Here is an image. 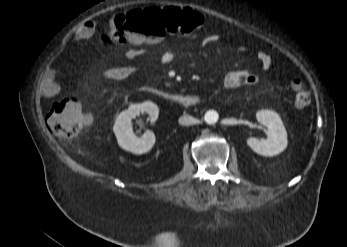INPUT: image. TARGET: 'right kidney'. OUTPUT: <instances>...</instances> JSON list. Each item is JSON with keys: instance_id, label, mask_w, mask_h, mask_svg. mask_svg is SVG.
Wrapping results in <instances>:
<instances>
[{"instance_id": "obj_1", "label": "right kidney", "mask_w": 347, "mask_h": 247, "mask_svg": "<svg viewBox=\"0 0 347 247\" xmlns=\"http://www.w3.org/2000/svg\"><path fill=\"white\" fill-rule=\"evenodd\" d=\"M140 113L149 114L151 121L154 122L158 118L159 109L151 101L130 105L127 110L122 111L117 116L113 127L119 146L133 154L146 153L155 144V135L153 132L146 131L140 137L136 136L133 132L131 120Z\"/></svg>"}]
</instances>
